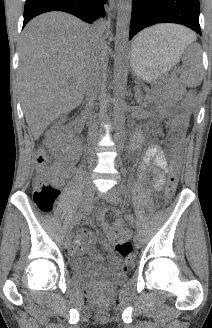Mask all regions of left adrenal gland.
<instances>
[{
	"label": "left adrenal gland",
	"instance_id": "left-adrenal-gland-1",
	"mask_svg": "<svg viewBox=\"0 0 212 328\" xmlns=\"http://www.w3.org/2000/svg\"><path fill=\"white\" fill-rule=\"evenodd\" d=\"M135 100L137 103H139L140 101V98H139V94H140V90H139V87H138V82H135Z\"/></svg>",
	"mask_w": 212,
	"mask_h": 328
}]
</instances>
